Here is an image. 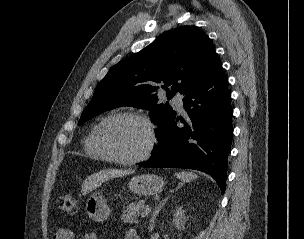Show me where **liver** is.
<instances>
[{
	"label": "liver",
	"mask_w": 304,
	"mask_h": 239,
	"mask_svg": "<svg viewBox=\"0 0 304 239\" xmlns=\"http://www.w3.org/2000/svg\"><path fill=\"white\" fill-rule=\"evenodd\" d=\"M133 173L131 170H118V169H106L101 170L97 173H94L88 176L83 182L81 192L83 195L88 194L93 191L97 187H99L102 183L117 177L126 176Z\"/></svg>",
	"instance_id": "1"
}]
</instances>
